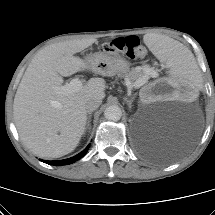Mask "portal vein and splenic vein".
<instances>
[{"instance_id": "1", "label": "portal vein and splenic vein", "mask_w": 215, "mask_h": 215, "mask_svg": "<svg viewBox=\"0 0 215 215\" xmlns=\"http://www.w3.org/2000/svg\"><path fill=\"white\" fill-rule=\"evenodd\" d=\"M152 76L156 77L157 73L153 72ZM146 80H147V78H141V79L137 80V82H136L137 88L144 85L146 83ZM82 86H83V84H82L81 80L79 78H74L69 83H67L63 86H57V87H55V89L58 93L69 94V93L77 92L78 90H80L82 88Z\"/></svg>"}]
</instances>
